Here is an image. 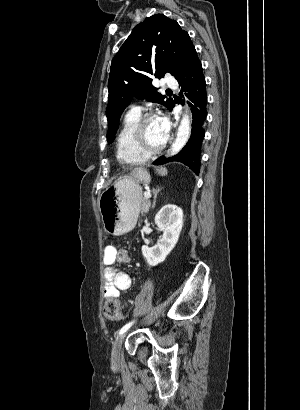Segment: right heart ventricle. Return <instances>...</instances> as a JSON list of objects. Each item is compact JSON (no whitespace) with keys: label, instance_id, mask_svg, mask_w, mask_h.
<instances>
[{"label":"right heart ventricle","instance_id":"1","mask_svg":"<svg viewBox=\"0 0 300 410\" xmlns=\"http://www.w3.org/2000/svg\"><path fill=\"white\" fill-rule=\"evenodd\" d=\"M140 118V113L129 111L124 116L122 124L116 138L117 158L126 164H143L148 160V156L139 152L132 141L133 128Z\"/></svg>","mask_w":300,"mask_h":410}]
</instances>
